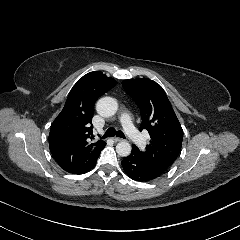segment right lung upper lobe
<instances>
[{"label": "right lung upper lobe", "instance_id": "cb5924a9", "mask_svg": "<svg viewBox=\"0 0 240 240\" xmlns=\"http://www.w3.org/2000/svg\"><path fill=\"white\" fill-rule=\"evenodd\" d=\"M115 84L113 78L95 71L84 75L72 88L49 134L51 154L63 170L82 174L96 164L106 142L92 141L94 103Z\"/></svg>", "mask_w": 240, "mask_h": 240}]
</instances>
